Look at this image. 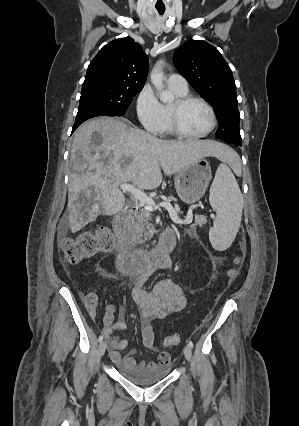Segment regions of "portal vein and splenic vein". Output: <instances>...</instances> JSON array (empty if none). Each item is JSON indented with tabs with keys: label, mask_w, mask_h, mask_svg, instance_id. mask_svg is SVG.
Instances as JSON below:
<instances>
[{
	"label": "portal vein and splenic vein",
	"mask_w": 299,
	"mask_h": 426,
	"mask_svg": "<svg viewBox=\"0 0 299 426\" xmlns=\"http://www.w3.org/2000/svg\"><path fill=\"white\" fill-rule=\"evenodd\" d=\"M119 187L123 192H130L148 210H157L161 207L165 208L169 212L171 220L176 224H190L193 219L192 209L198 206V205H192L190 210L187 213L186 219L181 220L177 216L174 208L171 206L169 202H161L160 204L156 205L151 197L147 196L144 192L136 188L134 185H131L128 183H122L119 185Z\"/></svg>",
	"instance_id": "obj_1"
}]
</instances>
